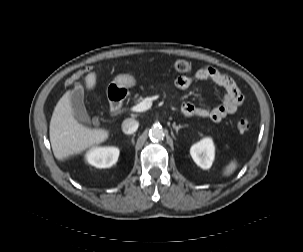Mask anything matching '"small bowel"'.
I'll return each instance as SVG.
<instances>
[{
	"instance_id": "1",
	"label": "small bowel",
	"mask_w": 303,
	"mask_h": 252,
	"mask_svg": "<svg viewBox=\"0 0 303 252\" xmlns=\"http://www.w3.org/2000/svg\"><path fill=\"white\" fill-rule=\"evenodd\" d=\"M198 81H210L221 88L223 98L212 108L197 107L189 101L183 102L180 112L185 116L208 118L219 122L227 115L233 114L243 102V95L234 81L210 67L200 68L191 76H180L175 79L174 85L180 90H185Z\"/></svg>"
}]
</instances>
